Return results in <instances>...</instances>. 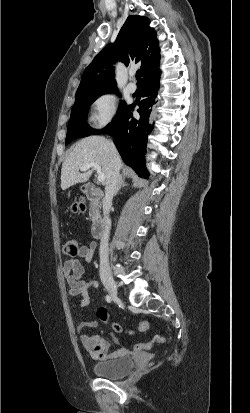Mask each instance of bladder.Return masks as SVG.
Instances as JSON below:
<instances>
[{
  "label": "bladder",
  "mask_w": 250,
  "mask_h": 413,
  "mask_svg": "<svg viewBox=\"0 0 250 413\" xmlns=\"http://www.w3.org/2000/svg\"><path fill=\"white\" fill-rule=\"evenodd\" d=\"M135 365V359L131 355H121L114 359L96 363L93 366L94 373L103 378H120L128 374Z\"/></svg>",
  "instance_id": "bladder-1"
}]
</instances>
